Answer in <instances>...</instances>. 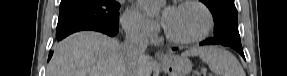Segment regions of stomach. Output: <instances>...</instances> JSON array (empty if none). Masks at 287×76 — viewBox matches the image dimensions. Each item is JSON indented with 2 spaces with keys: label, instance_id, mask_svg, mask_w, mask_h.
<instances>
[{
  "label": "stomach",
  "instance_id": "1",
  "mask_svg": "<svg viewBox=\"0 0 287 76\" xmlns=\"http://www.w3.org/2000/svg\"><path fill=\"white\" fill-rule=\"evenodd\" d=\"M160 64L168 76H187L192 70V63L186 56L168 55Z\"/></svg>",
  "mask_w": 287,
  "mask_h": 76
}]
</instances>
